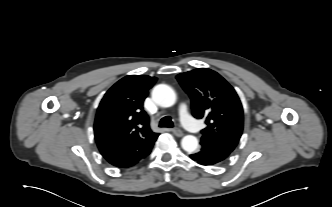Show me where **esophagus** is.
Masks as SVG:
<instances>
[{"label":"esophagus","mask_w":332,"mask_h":207,"mask_svg":"<svg viewBox=\"0 0 332 207\" xmlns=\"http://www.w3.org/2000/svg\"><path fill=\"white\" fill-rule=\"evenodd\" d=\"M171 131L177 137H182L183 136V131L179 128H173V129H171Z\"/></svg>","instance_id":"1"}]
</instances>
